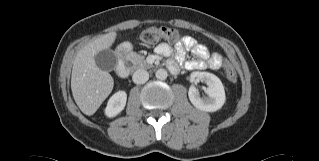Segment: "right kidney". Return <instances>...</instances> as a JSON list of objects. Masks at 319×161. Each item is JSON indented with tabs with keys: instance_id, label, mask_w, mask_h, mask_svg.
<instances>
[{
	"instance_id": "ca27d5eb",
	"label": "right kidney",
	"mask_w": 319,
	"mask_h": 161,
	"mask_svg": "<svg viewBox=\"0 0 319 161\" xmlns=\"http://www.w3.org/2000/svg\"><path fill=\"white\" fill-rule=\"evenodd\" d=\"M127 94L125 91H118L108 100L105 115L109 118L117 116L125 107Z\"/></svg>"
}]
</instances>
